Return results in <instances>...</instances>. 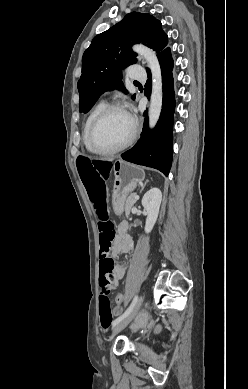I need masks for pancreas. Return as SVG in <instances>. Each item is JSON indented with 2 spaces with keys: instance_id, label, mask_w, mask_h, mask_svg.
<instances>
[{
  "instance_id": "1",
  "label": "pancreas",
  "mask_w": 248,
  "mask_h": 389,
  "mask_svg": "<svg viewBox=\"0 0 248 389\" xmlns=\"http://www.w3.org/2000/svg\"><path fill=\"white\" fill-rule=\"evenodd\" d=\"M135 203L134 195L130 194L128 195L126 202H125V212L129 213L130 208L133 206Z\"/></svg>"
}]
</instances>
